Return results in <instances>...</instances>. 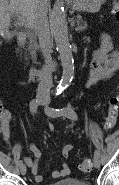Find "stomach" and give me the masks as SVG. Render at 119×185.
I'll return each instance as SVG.
<instances>
[{"mask_svg": "<svg viewBox=\"0 0 119 185\" xmlns=\"http://www.w3.org/2000/svg\"><path fill=\"white\" fill-rule=\"evenodd\" d=\"M105 0H73L72 6L76 11H86L95 13L101 8Z\"/></svg>", "mask_w": 119, "mask_h": 185, "instance_id": "stomach-1", "label": "stomach"}]
</instances>
